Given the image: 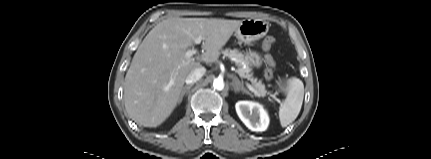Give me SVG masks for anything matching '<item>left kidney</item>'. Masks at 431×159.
<instances>
[{"label":"left kidney","instance_id":"left-kidney-1","mask_svg":"<svg viewBox=\"0 0 431 159\" xmlns=\"http://www.w3.org/2000/svg\"><path fill=\"white\" fill-rule=\"evenodd\" d=\"M241 121L252 131H265L269 124V117L263 106L257 102L239 101L235 105Z\"/></svg>","mask_w":431,"mask_h":159}]
</instances>
